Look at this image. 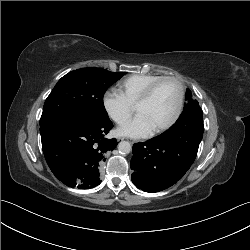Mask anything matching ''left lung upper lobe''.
Segmentation results:
<instances>
[{
	"instance_id": "left-lung-upper-lobe-1",
	"label": "left lung upper lobe",
	"mask_w": 250,
	"mask_h": 250,
	"mask_svg": "<svg viewBox=\"0 0 250 250\" xmlns=\"http://www.w3.org/2000/svg\"><path fill=\"white\" fill-rule=\"evenodd\" d=\"M186 100L187 103L184 106L181 116L182 115L184 116L186 113H192V114L203 113L198 104V101L192 98V94L189 89L186 90Z\"/></svg>"
}]
</instances>
